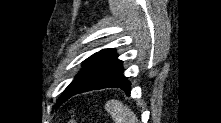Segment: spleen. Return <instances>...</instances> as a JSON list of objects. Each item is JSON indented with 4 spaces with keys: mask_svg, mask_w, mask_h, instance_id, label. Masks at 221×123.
Returning <instances> with one entry per match:
<instances>
[{
    "mask_svg": "<svg viewBox=\"0 0 221 123\" xmlns=\"http://www.w3.org/2000/svg\"><path fill=\"white\" fill-rule=\"evenodd\" d=\"M115 123H137L134 112L118 100H111L105 106Z\"/></svg>",
    "mask_w": 221,
    "mask_h": 123,
    "instance_id": "3e777b00",
    "label": "spleen"
}]
</instances>
